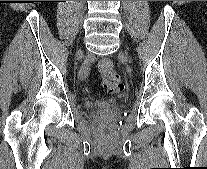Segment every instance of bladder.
Here are the masks:
<instances>
[{
	"label": "bladder",
	"instance_id": "obj_1",
	"mask_svg": "<svg viewBox=\"0 0 207 169\" xmlns=\"http://www.w3.org/2000/svg\"><path fill=\"white\" fill-rule=\"evenodd\" d=\"M110 105L111 103L109 101H98V102H91L88 106L90 108H93V107L105 108Z\"/></svg>",
	"mask_w": 207,
	"mask_h": 169
}]
</instances>
